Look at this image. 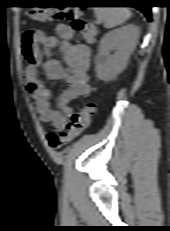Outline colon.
<instances>
[{"label": "colon", "instance_id": "obj_1", "mask_svg": "<svg viewBox=\"0 0 170 231\" xmlns=\"http://www.w3.org/2000/svg\"><path fill=\"white\" fill-rule=\"evenodd\" d=\"M28 15L31 19L39 22H48L54 19L67 20L71 22L72 28L87 42H93L97 35L96 25L86 20L83 17L84 11L77 7H70L59 11L34 8L28 12ZM95 109L96 107L93 102L87 103L71 117L64 131L59 133L51 132L47 135L49 145L52 148L59 149L80 136L91 125Z\"/></svg>", "mask_w": 170, "mask_h": 231}]
</instances>
